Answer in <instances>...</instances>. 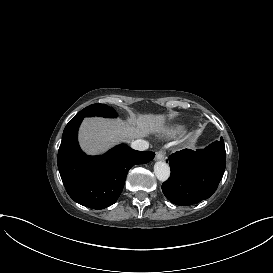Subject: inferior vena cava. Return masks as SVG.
I'll return each mask as SVG.
<instances>
[{
    "instance_id": "602c4592",
    "label": "inferior vena cava",
    "mask_w": 273,
    "mask_h": 273,
    "mask_svg": "<svg viewBox=\"0 0 273 273\" xmlns=\"http://www.w3.org/2000/svg\"><path fill=\"white\" fill-rule=\"evenodd\" d=\"M148 146L149 142L142 139L135 140L131 143V148L139 151L146 150Z\"/></svg>"
}]
</instances>
